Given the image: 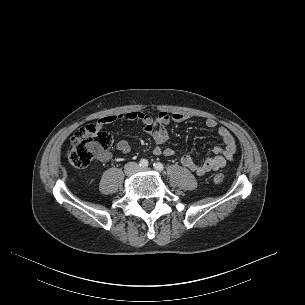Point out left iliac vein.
<instances>
[{
    "label": "left iliac vein",
    "instance_id": "4c4485c4",
    "mask_svg": "<svg viewBox=\"0 0 305 305\" xmlns=\"http://www.w3.org/2000/svg\"><path fill=\"white\" fill-rule=\"evenodd\" d=\"M144 170L148 171L149 169H148V168H145Z\"/></svg>",
    "mask_w": 305,
    "mask_h": 305
}]
</instances>
